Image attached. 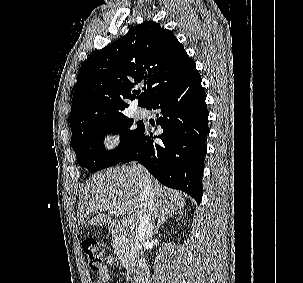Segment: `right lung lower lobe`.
I'll return each mask as SVG.
<instances>
[{
    "label": "right lung lower lobe",
    "instance_id": "obj_1",
    "mask_svg": "<svg viewBox=\"0 0 303 283\" xmlns=\"http://www.w3.org/2000/svg\"><path fill=\"white\" fill-rule=\"evenodd\" d=\"M199 72L181 86L165 93L147 109H157V125L163 133L154 138L145 127L133 147L119 162L136 160L162 184L202 200L205 145L209 134L206 95Z\"/></svg>",
    "mask_w": 303,
    "mask_h": 283
}]
</instances>
